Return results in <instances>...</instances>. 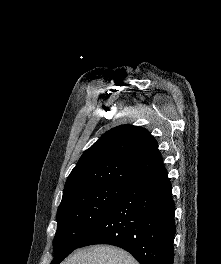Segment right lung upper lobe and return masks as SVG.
<instances>
[{
	"label": "right lung upper lobe",
	"mask_w": 221,
	"mask_h": 264,
	"mask_svg": "<svg viewBox=\"0 0 221 264\" xmlns=\"http://www.w3.org/2000/svg\"><path fill=\"white\" fill-rule=\"evenodd\" d=\"M164 167L158 143L148 130L121 125L87 149L67 178L62 199L101 184H127Z\"/></svg>",
	"instance_id": "1"
}]
</instances>
